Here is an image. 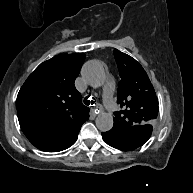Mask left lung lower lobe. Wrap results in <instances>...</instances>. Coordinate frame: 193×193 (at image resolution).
Returning a JSON list of instances; mask_svg holds the SVG:
<instances>
[{
	"instance_id": "1",
	"label": "left lung lower lobe",
	"mask_w": 193,
	"mask_h": 193,
	"mask_svg": "<svg viewBox=\"0 0 193 193\" xmlns=\"http://www.w3.org/2000/svg\"><path fill=\"white\" fill-rule=\"evenodd\" d=\"M130 127L113 126L108 132H103L104 141L110 146L131 151L142 146L151 136V126H140L138 129L130 130Z\"/></svg>"
}]
</instances>
